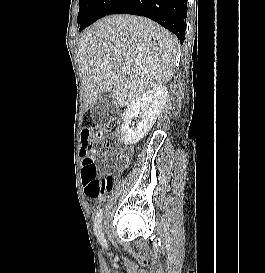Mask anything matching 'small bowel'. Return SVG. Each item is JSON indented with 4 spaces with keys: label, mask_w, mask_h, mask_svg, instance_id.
Returning <instances> with one entry per match:
<instances>
[{
    "label": "small bowel",
    "mask_w": 265,
    "mask_h": 273,
    "mask_svg": "<svg viewBox=\"0 0 265 273\" xmlns=\"http://www.w3.org/2000/svg\"><path fill=\"white\" fill-rule=\"evenodd\" d=\"M81 129H94V124H81ZM120 154H123L122 152H120ZM90 199L96 201V202H100L103 200L102 197H94L92 195H87Z\"/></svg>",
    "instance_id": "c3829d8e"
}]
</instances>
